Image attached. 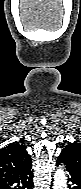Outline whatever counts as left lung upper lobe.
Instances as JSON below:
<instances>
[{"mask_svg": "<svg viewBox=\"0 0 81 189\" xmlns=\"http://www.w3.org/2000/svg\"><path fill=\"white\" fill-rule=\"evenodd\" d=\"M60 154L67 159L70 167L81 173V143H68Z\"/></svg>", "mask_w": 81, "mask_h": 189, "instance_id": "5c2ea615", "label": "left lung upper lobe"}]
</instances>
